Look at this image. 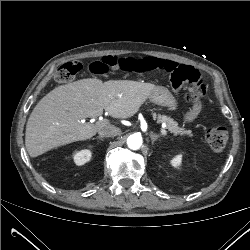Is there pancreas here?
Instances as JSON below:
<instances>
[{"label":"pancreas","instance_id":"1","mask_svg":"<svg viewBox=\"0 0 250 250\" xmlns=\"http://www.w3.org/2000/svg\"><path fill=\"white\" fill-rule=\"evenodd\" d=\"M158 122L165 123L166 128L173 133L175 136L177 135H187L189 137L193 136L191 130H185L184 128H181L178 126V123L174 121L172 118L165 116V115H156V113H153V118H156Z\"/></svg>","mask_w":250,"mask_h":250}]
</instances>
